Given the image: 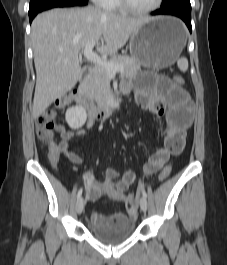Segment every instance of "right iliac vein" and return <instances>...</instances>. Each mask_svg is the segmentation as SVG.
<instances>
[{
    "label": "right iliac vein",
    "instance_id": "1",
    "mask_svg": "<svg viewBox=\"0 0 227 265\" xmlns=\"http://www.w3.org/2000/svg\"><path fill=\"white\" fill-rule=\"evenodd\" d=\"M85 206L84 199L80 197L76 203V211L78 214H81Z\"/></svg>",
    "mask_w": 227,
    "mask_h": 265
}]
</instances>
